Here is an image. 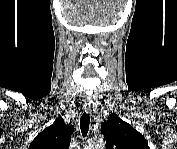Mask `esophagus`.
Returning <instances> with one entry per match:
<instances>
[{"instance_id": "1", "label": "esophagus", "mask_w": 177, "mask_h": 149, "mask_svg": "<svg viewBox=\"0 0 177 149\" xmlns=\"http://www.w3.org/2000/svg\"><path fill=\"white\" fill-rule=\"evenodd\" d=\"M84 109L86 111H90L91 110V102H85L84 103Z\"/></svg>"}]
</instances>
